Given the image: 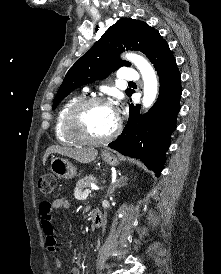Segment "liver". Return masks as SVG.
Segmentation results:
<instances>
[{
    "label": "liver",
    "mask_w": 221,
    "mask_h": 274,
    "mask_svg": "<svg viewBox=\"0 0 221 274\" xmlns=\"http://www.w3.org/2000/svg\"><path fill=\"white\" fill-rule=\"evenodd\" d=\"M52 153H57L62 156H67L72 158L80 163H90L94 161L98 155V151L94 148H83V149H75V148H68L62 146H51L49 147L43 157V164L46 163L48 156Z\"/></svg>",
    "instance_id": "liver-1"
}]
</instances>
